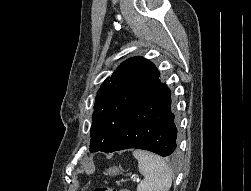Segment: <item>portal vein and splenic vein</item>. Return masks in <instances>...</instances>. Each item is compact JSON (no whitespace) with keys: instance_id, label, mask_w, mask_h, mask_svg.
Here are the masks:
<instances>
[{"instance_id":"18ae733b","label":"portal vein and splenic vein","mask_w":251,"mask_h":191,"mask_svg":"<svg viewBox=\"0 0 251 191\" xmlns=\"http://www.w3.org/2000/svg\"><path fill=\"white\" fill-rule=\"evenodd\" d=\"M135 179H136V177H135ZM135 179H132V180H131V183H132V184H135V183H136V180H135ZM137 181H140V179H137Z\"/></svg>"}]
</instances>
